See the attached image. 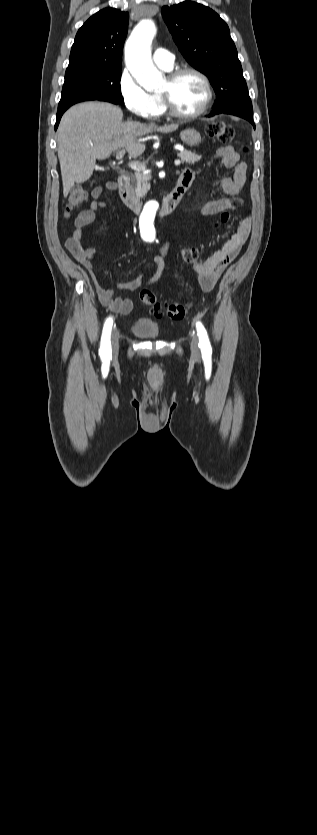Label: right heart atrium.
Returning a JSON list of instances; mask_svg holds the SVG:
<instances>
[{
	"instance_id": "right-heart-atrium-1",
	"label": "right heart atrium",
	"mask_w": 317,
	"mask_h": 835,
	"mask_svg": "<svg viewBox=\"0 0 317 835\" xmlns=\"http://www.w3.org/2000/svg\"><path fill=\"white\" fill-rule=\"evenodd\" d=\"M118 89L124 105L134 115L145 119L157 116V104L153 96L142 88L127 68L120 73Z\"/></svg>"
}]
</instances>
